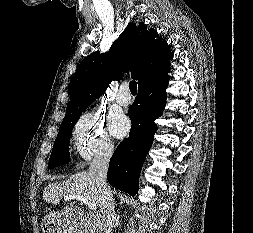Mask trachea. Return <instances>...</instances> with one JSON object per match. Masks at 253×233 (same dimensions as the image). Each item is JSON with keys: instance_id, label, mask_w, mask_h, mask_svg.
I'll return each mask as SVG.
<instances>
[{"instance_id": "obj_1", "label": "trachea", "mask_w": 253, "mask_h": 233, "mask_svg": "<svg viewBox=\"0 0 253 233\" xmlns=\"http://www.w3.org/2000/svg\"><path fill=\"white\" fill-rule=\"evenodd\" d=\"M129 89L131 91L132 94H136L137 93V84L136 81H131L129 83Z\"/></svg>"}]
</instances>
